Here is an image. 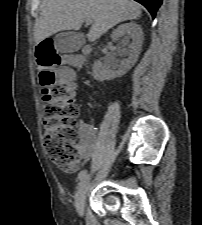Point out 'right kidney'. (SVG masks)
<instances>
[{"mask_svg": "<svg viewBox=\"0 0 202 225\" xmlns=\"http://www.w3.org/2000/svg\"><path fill=\"white\" fill-rule=\"evenodd\" d=\"M111 37L114 40L122 38V47L127 46V48L121 50V55L127 58L121 61L116 71L105 69L101 60L95 61L93 65V77L95 80L104 81L123 76L134 66L140 54L143 43V32L137 23L121 24L112 32Z\"/></svg>", "mask_w": 202, "mask_h": 225, "instance_id": "ca27d5eb", "label": "right kidney"}]
</instances>
